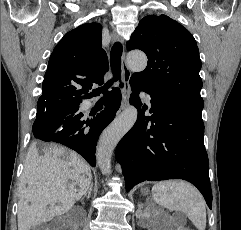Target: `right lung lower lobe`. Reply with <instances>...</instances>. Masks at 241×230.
<instances>
[{
    "instance_id": "98d812e1",
    "label": "right lung lower lobe",
    "mask_w": 241,
    "mask_h": 230,
    "mask_svg": "<svg viewBox=\"0 0 241 230\" xmlns=\"http://www.w3.org/2000/svg\"><path fill=\"white\" fill-rule=\"evenodd\" d=\"M120 104V90L114 88L108 94L103 111L88 118H83L82 114L78 121L61 129L53 127L50 121L67 117L69 107L61 105L55 109H48L44 104L42 108H37L36 119L32 128L34 137L47 142L61 143L81 154L91 166L95 167V150L98 138L103 129L114 119Z\"/></svg>"
}]
</instances>
